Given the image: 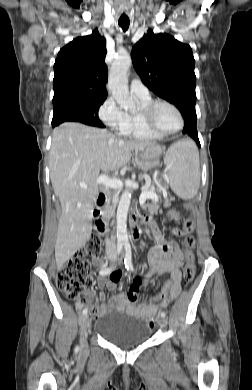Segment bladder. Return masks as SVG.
<instances>
[{
    "label": "bladder",
    "mask_w": 252,
    "mask_h": 390,
    "mask_svg": "<svg viewBox=\"0 0 252 390\" xmlns=\"http://www.w3.org/2000/svg\"><path fill=\"white\" fill-rule=\"evenodd\" d=\"M94 333L118 347L131 348L148 341L151 327L138 318L104 315L95 323Z\"/></svg>",
    "instance_id": "31cf9c89"
}]
</instances>
